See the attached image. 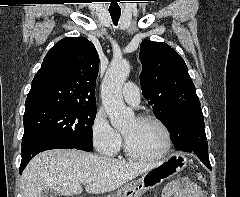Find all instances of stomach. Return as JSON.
<instances>
[{
	"instance_id": "stomach-1",
	"label": "stomach",
	"mask_w": 240,
	"mask_h": 197,
	"mask_svg": "<svg viewBox=\"0 0 240 197\" xmlns=\"http://www.w3.org/2000/svg\"><path fill=\"white\" fill-rule=\"evenodd\" d=\"M187 165V158L179 153L168 156L158 166L146 171L138 180L128 182L116 194L107 197H141L146 191L159 186Z\"/></svg>"
}]
</instances>
